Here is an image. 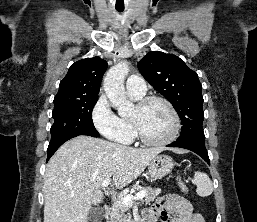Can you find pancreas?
<instances>
[{
	"instance_id": "obj_1",
	"label": "pancreas",
	"mask_w": 257,
	"mask_h": 222,
	"mask_svg": "<svg viewBox=\"0 0 257 222\" xmlns=\"http://www.w3.org/2000/svg\"><path fill=\"white\" fill-rule=\"evenodd\" d=\"M138 190L145 191L144 201L146 204H150V202L154 201L156 196L161 192L160 189H153L152 187L139 188ZM129 210V206L122 204L118 200L114 201L108 222H133Z\"/></svg>"
}]
</instances>
